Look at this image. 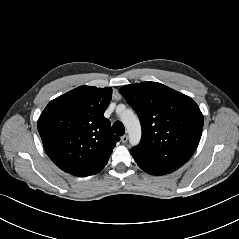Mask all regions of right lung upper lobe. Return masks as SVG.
<instances>
[{
  "mask_svg": "<svg viewBox=\"0 0 239 239\" xmlns=\"http://www.w3.org/2000/svg\"><path fill=\"white\" fill-rule=\"evenodd\" d=\"M112 88L80 86L52 100L37 128L50 159L75 176L100 172L119 141L103 114Z\"/></svg>",
  "mask_w": 239,
  "mask_h": 239,
  "instance_id": "1",
  "label": "right lung upper lobe"
}]
</instances>
